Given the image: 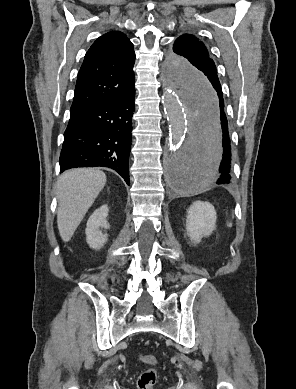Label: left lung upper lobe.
I'll list each match as a JSON object with an SVG mask.
<instances>
[{
	"label": "left lung upper lobe",
	"instance_id": "obj_1",
	"mask_svg": "<svg viewBox=\"0 0 296 389\" xmlns=\"http://www.w3.org/2000/svg\"><path fill=\"white\" fill-rule=\"evenodd\" d=\"M173 52L184 57L174 55L177 65L180 66V72L177 71L176 76L181 81L185 80L186 71L182 68L178 57L196 67L198 71L194 69L200 78L206 79L209 75L216 72L214 61L211 59L206 46L193 35L184 34L178 37L173 45ZM174 70L176 71V68Z\"/></svg>",
	"mask_w": 296,
	"mask_h": 389
}]
</instances>
